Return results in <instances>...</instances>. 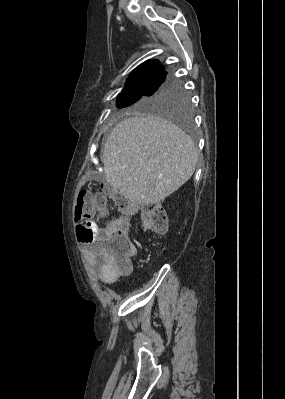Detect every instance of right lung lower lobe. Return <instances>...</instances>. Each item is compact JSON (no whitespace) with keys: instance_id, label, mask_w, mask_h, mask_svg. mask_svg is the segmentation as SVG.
I'll return each mask as SVG.
<instances>
[{"instance_id":"obj_1","label":"right lung lower lobe","mask_w":285,"mask_h":399,"mask_svg":"<svg viewBox=\"0 0 285 399\" xmlns=\"http://www.w3.org/2000/svg\"><path fill=\"white\" fill-rule=\"evenodd\" d=\"M167 82H168V80H166V77H165L164 83H167Z\"/></svg>"}]
</instances>
